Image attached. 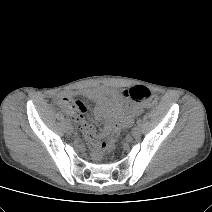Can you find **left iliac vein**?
<instances>
[{"instance_id": "4c4485c4", "label": "left iliac vein", "mask_w": 212, "mask_h": 212, "mask_svg": "<svg viewBox=\"0 0 212 212\" xmlns=\"http://www.w3.org/2000/svg\"><path fill=\"white\" fill-rule=\"evenodd\" d=\"M133 137L137 138L140 136L141 134V130H140V127L139 126H135L132 131H131Z\"/></svg>"}]
</instances>
